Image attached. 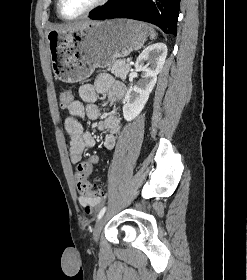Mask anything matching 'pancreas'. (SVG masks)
<instances>
[{
	"label": "pancreas",
	"mask_w": 247,
	"mask_h": 280,
	"mask_svg": "<svg viewBox=\"0 0 247 280\" xmlns=\"http://www.w3.org/2000/svg\"><path fill=\"white\" fill-rule=\"evenodd\" d=\"M108 69L111 70L116 77L125 79L130 70V64L125 60L118 59Z\"/></svg>",
	"instance_id": "pancreas-1"
}]
</instances>
